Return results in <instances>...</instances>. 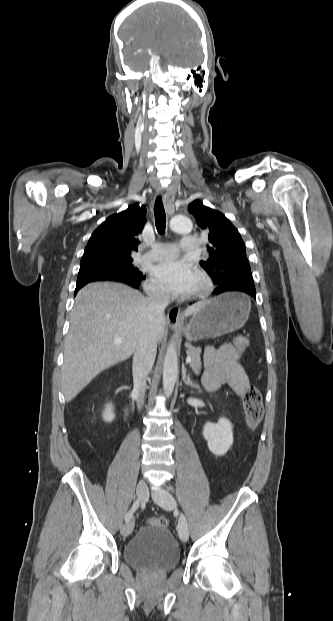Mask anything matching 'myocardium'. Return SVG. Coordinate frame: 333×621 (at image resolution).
Segmentation results:
<instances>
[{"instance_id": "myocardium-1", "label": "myocardium", "mask_w": 333, "mask_h": 621, "mask_svg": "<svg viewBox=\"0 0 333 621\" xmlns=\"http://www.w3.org/2000/svg\"><path fill=\"white\" fill-rule=\"evenodd\" d=\"M198 278L200 280V288L187 296L190 300H198L207 298L213 291V282L211 278L203 271L198 272Z\"/></svg>"}]
</instances>
